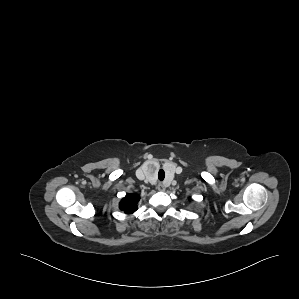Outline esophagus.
Returning a JSON list of instances; mask_svg holds the SVG:
<instances>
[{"label":"esophagus","instance_id":"obj_1","mask_svg":"<svg viewBox=\"0 0 299 299\" xmlns=\"http://www.w3.org/2000/svg\"><path fill=\"white\" fill-rule=\"evenodd\" d=\"M157 189L159 190V191H165V186L162 184V183H160V184H158V186H157Z\"/></svg>","mask_w":299,"mask_h":299}]
</instances>
